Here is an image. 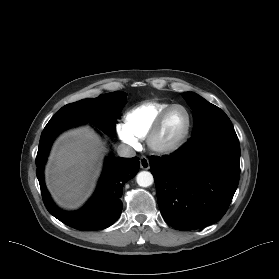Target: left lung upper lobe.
<instances>
[{
    "label": "left lung upper lobe",
    "mask_w": 279,
    "mask_h": 279,
    "mask_svg": "<svg viewBox=\"0 0 279 279\" xmlns=\"http://www.w3.org/2000/svg\"><path fill=\"white\" fill-rule=\"evenodd\" d=\"M182 96L193 111L194 129L192 136L210 130L234 129L228 116L217 106L191 92L182 93Z\"/></svg>",
    "instance_id": "5c2ea615"
}]
</instances>
